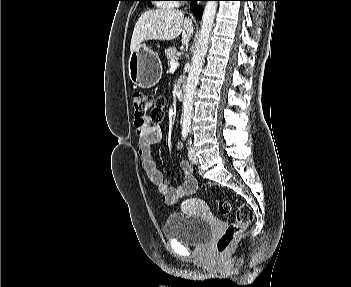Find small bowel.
Listing matches in <instances>:
<instances>
[{"label":"small bowel","instance_id":"small-bowel-1","mask_svg":"<svg viewBox=\"0 0 351 287\" xmlns=\"http://www.w3.org/2000/svg\"><path fill=\"white\" fill-rule=\"evenodd\" d=\"M134 125L138 136V153L143 169L151 182L158 188L163 201L166 204H174L179 199L195 192L197 181L193 176V168L189 162L180 160L179 166L183 173V179L176 187H173L158 169L152 155V148L162 140V132L159 126L151 125L149 120H135ZM176 149L181 151L183 143L177 142Z\"/></svg>","mask_w":351,"mask_h":287}]
</instances>
